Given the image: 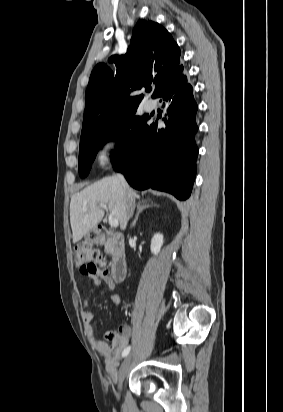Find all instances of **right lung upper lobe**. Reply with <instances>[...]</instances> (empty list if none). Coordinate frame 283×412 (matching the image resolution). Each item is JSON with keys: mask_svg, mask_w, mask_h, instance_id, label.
Returning a JSON list of instances; mask_svg holds the SVG:
<instances>
[{"mask_svg": "<svg viewBox=\"0 0 283 412\" xmlns=\"http://www.w3.org/2000/svg\"><path fill=\"white\" fill-rule=\"evenodd\" d=\"M131 44L124 56H111L117 72L104 63L91 73L86 89L81 139L117 126L132 113L144 95L131 92L155 85L153 98H158L169 85L181 84L186 77L180 61V48L171 34L158 23L140 20L133 29Z\"/></svg>", "mask_w": 283, "mask_h": 412, "instance_id": "obj_1", "label": "right lung upper lobe"}]
</instances>
